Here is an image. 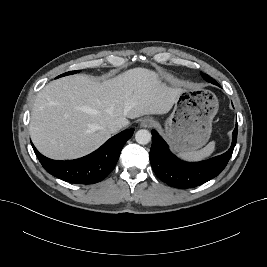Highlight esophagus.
<instances>
[{
	"instance_id": "obj_1",
	"label": "esophagus",
	"mask_w": 267,
	"mask_h": 267,
	"mask_svg": "<svg viewBox=\"0 0 267 267\" xmlns=\"http://www.w3.org/2000/svg\"><path fill=\"white\" fill-rule=\"evenodd\" d=\"M153 124H154V120H153L152 118L147 117V118H144V119L141 121L140 126H141L142 128H149V127H151Z\"/></svg>"
}]
</instances>
